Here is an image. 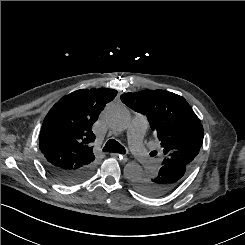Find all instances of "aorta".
<instances>
[{
    "instance_id": "762f6f07",
    "label": "aorta",
    "mask_w": 245,
    "mask_h": 245,
    "mask_svg": "<svg viewBox=\"0 0 245 245\" xmlns=\"http://www.w3.org/2000/svg\"><path fill=\"white\" fill-rule=\"evenodd\" d=\"M107 125L116 132L126 130L131 122V115L128 109L122 105L109 106L105 111ZM125 177L134 182L143 176L142 167L135 162H128L124 167Z\"/></svg>"
}]
</instances>
